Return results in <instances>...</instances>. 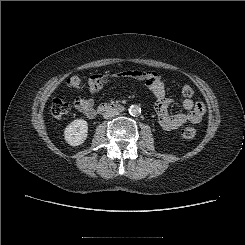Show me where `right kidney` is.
I'll return each instance as SVG.
<instances>
[{
    "instance_id": "obj_1",
    "label": "right kidney",
    "mask_w": 245,
    "mask_h": 245,
    "mask_svg": "<svg viewBox=\"0 0 245 245\" xmlns=\"http://www.w3.org/2000/svg\"><path fill=\"white\" fill-rule=\"evenodd\" d=\"M88 135V123L84 119L72 121L64 130V139L71 146L84 143Z\"/></svg>"
}]
</instances>
